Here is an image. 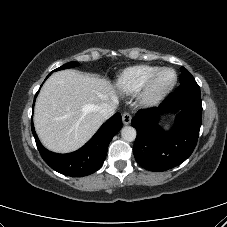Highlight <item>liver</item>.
<instances>
[{
	"mask_svg": "<svg viewBox=\"0 0 227 227\" xmlns=\"http://www.w3.org/2000/svg\"><path fill=\"white\" fill-rule=\"evenodd\" d=\"M101 103L118 105L116 92L106 79L75 70L52 74L35 104L34 124L41 142L61 153L80 148L105 120L97 111Z\"/></svg>",
	"mask_w": 227,
	"mask_h": 227,
	"instance_id": "obj_1",
	"label": "liver"
}]
</instances>
